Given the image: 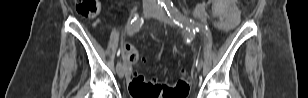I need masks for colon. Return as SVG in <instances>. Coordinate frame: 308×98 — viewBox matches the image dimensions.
<instances>
[{"label":"colon","instance_id":"1","mask_svg":"<svg viewBox=\"0 0 308 98\" xmlns=\"http://www.w3.org/2000/svg\"><path fill=\"white\" fill-rule=\"evenodd\" d=\"M251 1L247 0V2ZM76 11L85 18H94L100 13V3L98 0H77ZM124 51L132 63L139 61V56L132 52L129 45L124 46ZM130 92L136 98H185L189 92V82L187 77L182 75L172 86L161 85L135 73L130 82Z\"/></svg>","mask_w":308,"mask_h":98}]
</instances>
